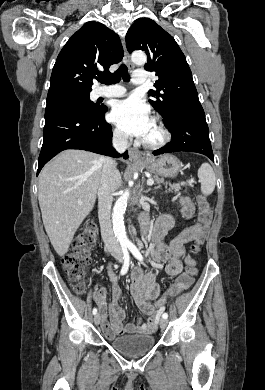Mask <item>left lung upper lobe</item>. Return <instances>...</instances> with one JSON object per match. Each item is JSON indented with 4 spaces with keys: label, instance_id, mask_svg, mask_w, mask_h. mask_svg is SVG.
<instances>
[{
    "label": "left lung upper lobe",
    "instance_id": "5c2ea615",
    "mask_svg": "<svg viewBox=\"0 0 265 390\" xmlns=\"http://www.w3.org/2000/svg\"><path fill=\"white\" fill-rule=\"evenodd\" d=\"M126 47L131 53L143 50L148 55L144 68L156 72V90H149L150 104L169 124L175 112L184 106L200 103L192 73L185 55L175 39L149 18H139L126 34Z\"/></svg>",
    "mask_w": 265,
    "mask_h": 390
}]
</instances>
